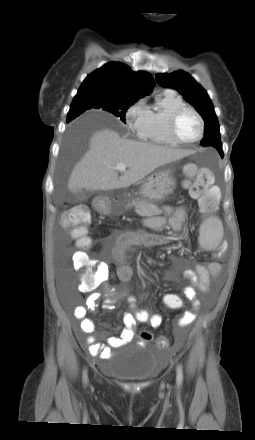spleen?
<instances>
[{
    "instance_id": "3e777b00",
    "label": "spleen",
    "mask_w": 255,
    "mask_h": 440,
    "mask_svg": "<svg viewBox=\"0 0 255 440\" xmlns=\"http://www.w3.org/2000/svg\"><path fill=\"white\" fill-rule=\"evenodd\" d=\"M223 238V225L217 217L206 219L199 229V244L205 250L218 247Z\"/></svg>"
}]
</instances>
